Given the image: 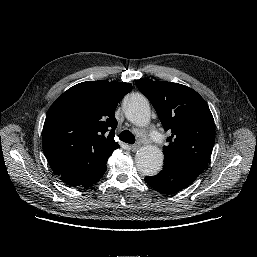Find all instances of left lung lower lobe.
I'll use <instances>...</instances> for the list:
<instances>
[{"label": "left lung lower lobe", "mask_w": 257, "mask_h": 257, "mask_svg": "<svg viewBox=\"0 0 257 257\" xmlns=\"http://www.w3.org/2000/svg\"><path fill=\"white\" fill-rule=\"evenodd\" d=\"M199 175L181 165L164 161L163 169L145 182L162 194H173L188 187Z\"/></svg>", "instance_id": "left-lung-lower-lobe-1"}]
</instances>
